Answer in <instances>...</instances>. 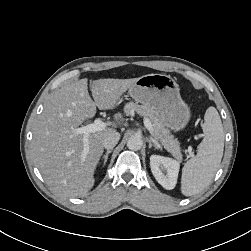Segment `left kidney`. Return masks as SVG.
Returning <instances> with one entry per match:
<instances>
[{
	"mask_svg": "<svg viewBox=\"0 0 251 251\" xmlns=\"http://www.w3.org/2000/svg\"><path fill=\"white\" fill-rule=\"evenodd\" d=\"M150 167L157 182L165 189L175 188L180 164L177 160L159 155L150 156Z\"/></svg>",
	"mask_w": 251,
	"mask_h": 251,
	"instance_id": "1",
	"label": "left kidney"
}]
</instances>
